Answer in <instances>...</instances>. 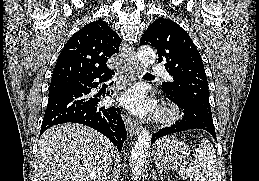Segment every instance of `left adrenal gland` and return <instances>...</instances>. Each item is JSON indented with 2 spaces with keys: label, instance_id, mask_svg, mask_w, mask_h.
<instances>
[{
  "label": "left adrenal gland",
  "instance_id": "1",
  "mask_svg": "<svg viewBox=\"0 0 259 181\" xmlns=\"http://www.w3.org/2000/svg\"><path fill=\"white\" fill-rule=\"evenodd\" d=\"M158 176H160V175H158ZM156 180H157V175H156L155 170L153 169V171H152V181H156Z\"/></svg>",
  "mask_w": 259,
  "mask_h": 181
}]
</instances>
